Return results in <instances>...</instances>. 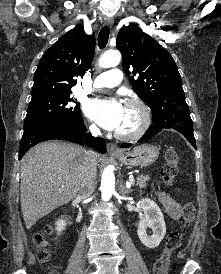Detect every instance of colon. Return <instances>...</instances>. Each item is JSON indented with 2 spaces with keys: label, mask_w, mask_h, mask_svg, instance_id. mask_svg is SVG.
Listing matches in <instances>:
<instances>
[{
  "label": "colon",
  "mask_w": 221,
  "mask_h": 274,
  "mask_svg": "<svg viewBox=\"0 0 221 274\" xmlns=\"http://www.w3.org/2000/svg\"><path fill=\"white\" fill-rule=\"evenodd\" d=\"M166 162L162 167V177L165 184L171 186L178 172L179 155L173 148H168L165 153ZM183 229L181 231L171 232L165 243V248L154 264V274H167L170 260L173 253L183 244L187 231L195 217V207L191 203H187L183 207ZM52 233L51 227H46L44 231L34 235L33 241L39 249L37 257L41 263H48L51 260V254L46 249L47 236ZM56 274V273H52Z\"/></svg>",
  "instance_id": "1"
}]
</instances>
